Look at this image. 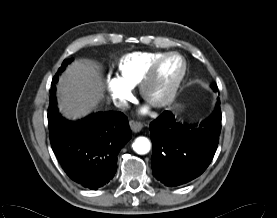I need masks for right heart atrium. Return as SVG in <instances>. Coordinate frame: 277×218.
Listing matches in <instances>:
<instances>
[{
  "label": "right heart atrium",
  "mask_w": 277,
  "mask_h": 218,
  "mask_svg": "<svg viewBox=\"0 0 277 218\" xmlns=\"http://www.w3.org/2000/svg\"><path fill=\"white\" fill-rule=\"evenodd\" d=\"M107 85L114 100L124 102L131 93L130 87L119 76L109 74L107 77Z\"/></svg>",
  "instance_id": "right-heart-atrium-1"
}]
</instances>
